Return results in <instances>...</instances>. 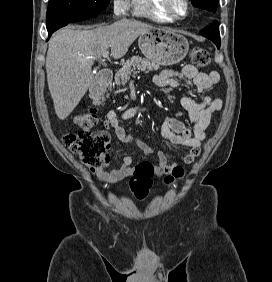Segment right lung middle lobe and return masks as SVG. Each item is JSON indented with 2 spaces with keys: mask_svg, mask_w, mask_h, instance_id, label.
<instances>
[{
  "mask_svg": "<svg viewBox=\"0 0 272 282\" xmlns=\"http://www.w3.org/2000/svg\"><path fill=\"white\" fill-rule=\"evenodd\" d=\"M110 0H49L46 22L81 12H101Z\"/></svg>",
  "mask_w": 272,
  "mask_h": 282,
  "instance_id": "dd1d6c3e",
  "label": "right lung middle lobe"
}]
</instances>
